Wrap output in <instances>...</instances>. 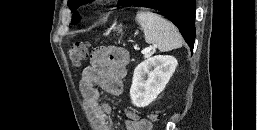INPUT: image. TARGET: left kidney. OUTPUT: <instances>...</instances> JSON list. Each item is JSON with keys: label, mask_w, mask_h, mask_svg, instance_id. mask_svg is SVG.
<instances>
[{"label": "left kidney", "mask_w": 257, "mask_h": 130, "mask_svg": "<svg viewBox=\"0 0 257 130\" xmlns=\"http://www.w3.org/2000/svg\"><path fill=\"white\" fill-rule=\"evenodd\" d=\"M177 64V59L169 55H157L141 62L134 70L130 88L132 104L141 108L153 102L166 87Z\"/></svg>", "instance_id": "5707ae66"}]
</instances>
